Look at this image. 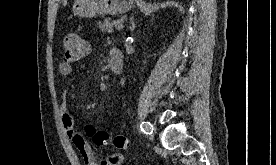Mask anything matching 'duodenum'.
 <instances>
[{
    "mask_svg": "<svg viewBox=\"0 0 276 165\" xmlns=\"http://www.w3.org/2000/svg\"><path fill=\"white\" fill-rule=\"evenodd\" d=\"M108 65H109V69L111 70L112 73L118 74L121 72V70L123 68L122 58H120L117 55H111L109 57Z\"/></svg>",
    "mask_w": 276,
    "mask_h": 165,
    "instance_id": "1",
    "label": "duodenum"
}]
</instances>
